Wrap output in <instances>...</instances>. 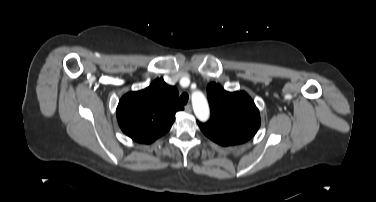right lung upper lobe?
Masks as SVG:
<instances>
[{
	"label": "right lung upper lobe",
	"mask_w": 376,
	"mask_h": 202,
	"mask_svg": "<svg viewBox=\"0 0 376 202\" xmlns=\"http://www.w3.org/2000/svg\"><path fill=\"white\" fill-rule=\"evenodd\" d=\"M178 96L177 88L162 78L141 91L125 94L116 110L121 130L136 142L152 143L170 130L176 112L184 109Z\"/></svg>",
	"instance_id": "right-lung-upper-lobe-1"
}]
</instances>
